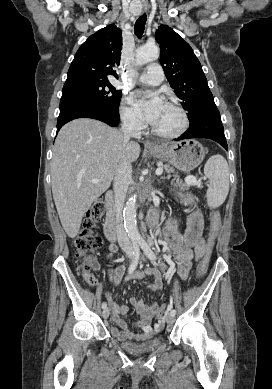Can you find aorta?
<instances>
[{
    "mask_svg": "<svg viewBox=\"0 0 272 389\" xmlns=\"http://www.w3.org/2000/svg\"><path fill=\"white\" fill-rule=\"evenodd\" d=\"M159 53V47L155 44L144 45L136 50L135 65L141 66L148 62H151L158 58ZM136 203V195H133L127 200L123 210L124 227L128 234V237L134 243L142 241V237L137 228Z\"/></svg>",
    "mask_w": 272,
    "mask_h": 389,
    "instance_id": "obj_1",
    "label": "aorta"
}]
</instances>
